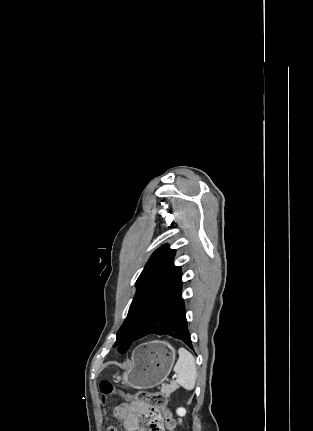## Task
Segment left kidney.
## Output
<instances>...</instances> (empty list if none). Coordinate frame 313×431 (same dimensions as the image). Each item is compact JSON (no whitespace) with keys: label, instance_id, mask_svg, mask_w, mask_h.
<instances>
[{"label":"left kidney","instance_id":"5707ae66","mask_svg":"<svg viewBox=\"0 0 313 431\" xmlns=\"http://www.w3.org/2000/svg\"><path fill=\"white\" fill-rule=\"evenodd\" d=\"M176 413H177V415L183 417L186 414V409L185 408H178ZM180 422H181V420H180Z\"/></svg>","mask_w":313,"mask_h":431}]
</instances>
